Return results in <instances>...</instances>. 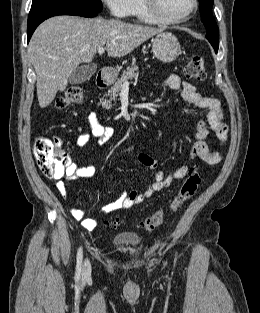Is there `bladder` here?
Here are the masks:
<instances>
[{"mask_svg": "<svg viewBox=\"0 0 260 313\" xmlns=\"http://www.w3.org/2000/svg\"><path fill=\"white\" fill-rule=\"evenodd\" d=\"M112 241L117 246H137L142 242V238L138 234L129 233L118 235L114 237Z\"/></svg>", "mask_w": 260, "mask_h": 313, "instance_id": "1", "label": "bladder"}]
</instances>
